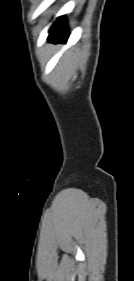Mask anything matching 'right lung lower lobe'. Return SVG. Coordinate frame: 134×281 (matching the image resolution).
Instances as JSON below:
<instances>
[{"label": "right lung lower lobe", "mask_w": 134, "mask_h": 281, "mask_svg": "<svg viewBox=\"0 0 134 281\" xmlns=\"http://www.w3.org/2000/svg\"><path fill=\"white\" fill-rule=\"evenodd\" d=\"M49 40L53 42H66L68 38V27L65 16L59 17L49 30Z\"/></svg>", "instance_id": "98d812e1"}]
</instances>
